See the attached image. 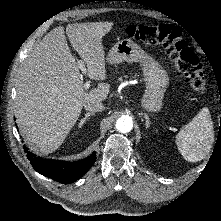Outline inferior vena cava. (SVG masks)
Here are the masks:
<instances>
[{
  "mask_svg": "<svg viewBox=\"0 0 221 221\" xmlns=\"http://www.w3.org/2000/svg\"><path fill=\"white\" fill-rule=\"evenodd\" d=\"M85 109L87 111L91 112H101L105 109L102 102L97 100H90L84 105Z\"/></svg>",
  "mask_w": 221,
  "mask_h": 221,
  "instance_id": "602c4592",
  "label": "inferior vena cava"
}]
</instances>
